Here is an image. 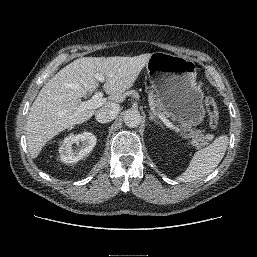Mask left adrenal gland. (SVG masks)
Segmentation results:
<instances>
[{
  "instance_id": "left-adrenal-gland-1",
  "label": "left adrenal gland",
  "mask_w": 257,
  "mask_h": 257,
  "mask_svg": "<svg viewBox=\"0 0 257 257\" xmlns=\"http://www.w3.org/2000/svg\"><path fill=\"white\" fill-rule=\"evenodd\" d=\"M149 120L154 121L156 124L162 125V123L158 119H156V117L153 115L151 111H149Z\"/></svg>"
}]
</instances>
